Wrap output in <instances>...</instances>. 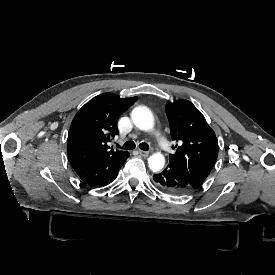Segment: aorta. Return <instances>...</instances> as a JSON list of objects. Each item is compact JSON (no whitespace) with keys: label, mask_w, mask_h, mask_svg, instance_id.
Here are the masks:
<instances>
[{"label":"aorta","mask_w":275,"mask_h":275,"mask_svg":"<svg viewBox=\"0 0 275 275\" xmlns=\"http://www.w3.org/2000/svg\"><path fill=\"white\" fill-rule=\"evenodd\" d=\"M131 118L139 130L150 134L155 131L153 113L146 106H137L132 111ZM148 164L153 172H159L165 165V157L162 153L153 152L148 158Z\"/></svg>","instance_id":"aorta-1"}]
</instances>
